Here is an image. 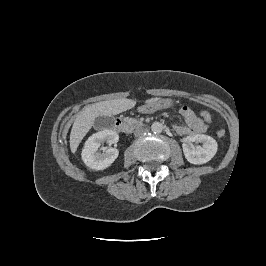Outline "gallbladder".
Returning <instances> with one entry per match:
<instances>
[{"label":"gallbladder","mask_w":266,"mask_h":266,"mask_svg":"<svg viewBox=\"0 0 266 266\" xmlns=\"http://www.w3.org/2000/svg\"><path fill=\"white\" fill-rule=\"evenodd\" d=\"M114 124V118L111 116H98L94 120V127L98 129L111 128Z\"/></svg>","instance_id":"gallbladder-1"}]
</instances>
